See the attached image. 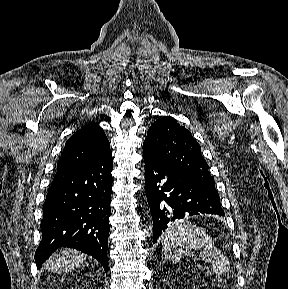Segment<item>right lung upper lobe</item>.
I'll list each match as a JSON object with an SVG mask.
<instances>
[{
	"instance_id": "1",
	"label": "right lung upper lobe",
	"mask_w": 288,
	"mask_h": 289,
	"mask_svg": "<svg viewBox=\"0 0 288 289\" xmlns=\"http://www.w3.org/2000/svg\"><path fill=\"white\" fill-rule=\"evenodd\" d=\"M112 154L104 131L89 123L68 139L58 161L57 171L97 163Z\"/></svg>"
}]
</instances>
